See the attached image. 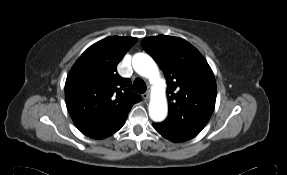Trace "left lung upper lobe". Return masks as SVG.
Wrapping results in <instances>:
<instances>
[{
    "instance_id": "obj_1",
    "label": "left lung upper lobe",
    "mask_w": 287,
    "mask_h": 175,
    "mask_svg": "<svg viewBox=\"0 0 287 175\" xmlns=\"http://www.w3.org/2000/svg\"><path fill=\"white\" fill-rule=\"evenodd\" d=\"M142 46L167 80L169 116L162 124L194 138L215 107L216 82L210 66L194 46L178 37H148L142 40Z\"/></svg>"
}]
</instances>
